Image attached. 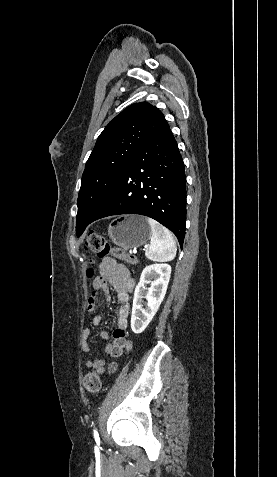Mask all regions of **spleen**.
Here are the masks:
<instances>
[{"label": "spleen", "instance_id": "obj_1", "mask_svg": "<svg viewBox=\"0 0 277 477\" xmlns=\"http://www.w3.org/2000/svg\"><path fill=\"white\" fill-rule=\"evenodd\" d=\"M150 228V244L145 251L148 259L157 262L171 261L175 258L177 247L171 232L157 221L147 219Z\"/></svg>", "mask_w": 277, "mask_h": 477}]
</instances>
